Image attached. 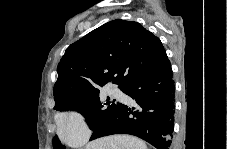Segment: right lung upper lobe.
I'll return each instance as SVG.
<instances>
[{
  "mask_svg": "<svg viewBox=\"0 0 227 149\" xmlns=\"http://www.w3.org/2000/svg\"><path fill=\"white\" fill-rule=\"evenodd\" d=\"M167 60L158 37L138 22L113 20L71 44L61 58L53 88L55 107L109 81L125 87Z\"/></svg>",
  "mask_w": 227,
  "mask_h": 149,
  "instance_id": "1",
  "label": "right lung upper lobe"
}]
</instances>
